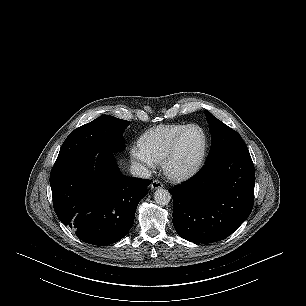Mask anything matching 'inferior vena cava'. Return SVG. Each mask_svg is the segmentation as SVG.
Returning <instances> with one entry per match:
<instances>
[{"mask_svg": "<svg viewBox=\"0 0 306 306\" xmlns=\"http://www.w3.org/2000/svg\"><path fill=\"white\" fill-rule=\"evenodd\" d=\"M130 172L134 177L149 178L151 176L150 170L141 163H134L131 165Z\"/></svg>", "mask_w": 306, "mask_h": 306, "instance_id": "602c4592", "label": "inferior vena cava"}]
</instances>
